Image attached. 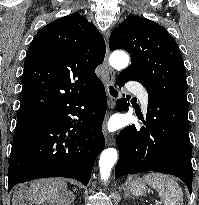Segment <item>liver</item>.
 I'll use <instances>...</instances> for the list:
<instances>
[{
  "instance_id": "obj_1",
  "label": "liver",
  "mask_w": 199,
  "mask_h": 205,
  "mask_svg": "<svg viewBox=\"0 0 199 205\" xmlns=\"http://www.w3.org/2000/svg\"><path fill=\"white\" fill-rule=\"evenodd\" d=\"M22 186L16 193L14 201L23 204L24 200L34 205H44L49 201L51 205H69L74 196L67 191V184L62 179H40L32 182L26 194Z\"/></svg>"
}]
</instances>
